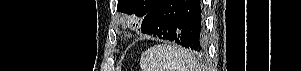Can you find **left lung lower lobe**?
Masks as SVG:
<instances>
[{"instance_id": "left-lung-lower-lobe-1", "label": "left lung lower lobe", "mask_w": 301, "mask_h": 71, "mask_svg": "<svg viewBox=\"0 0 301 71\" xmlns=\"http://www.w3.org/2000/svg\"><path fill=\"white\" fill-rule=\"evenodd\" d=\"M145 34L174 41L188 49L205 48L200 0H158L141 24Z\"/></svg>"}]
</instances>
